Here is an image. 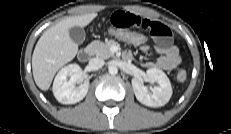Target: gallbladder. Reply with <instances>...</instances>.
<instances>
[{"instance_id":"gallbladder-1","label":"gallbladder","mask_w":231,"mask_h":134,"mask_svg":"<svg viewBox=\"0 0 231 134\" xmlns=\"http://www.w3.org/2000/svg\"><path fill=\"white\" fill-rule=\"evenodd\" d=\"M69 35L73 42L80 45L85 40V31L82 27L74 26L69 29Z\"/></svg>"}]
</instances>
